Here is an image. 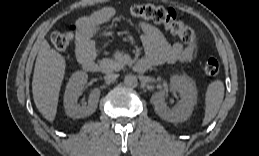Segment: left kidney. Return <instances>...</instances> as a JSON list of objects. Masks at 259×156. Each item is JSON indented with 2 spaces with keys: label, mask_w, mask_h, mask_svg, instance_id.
Here are the masks:
<instances>
[{
  "label": "left kidney",
  "mask_w": 259,
  "mask_h": 156,
  "mask_svg": "<svg viewBox=\"0 0 259 156\" xmlns=\"http://www.w3.org/2000/svg\"><path fill=\"white\" fill-rule=\"evenodd\" d=\"M170 89L180 94V101L169 108L165 102V91H158L151 97L156 113L169 122H183L187 120L197 102V89L194 80L189 77L175 75L170 79Z\"/></svg>",
  "instance_id": "5707ae66"
}]
</instances>
